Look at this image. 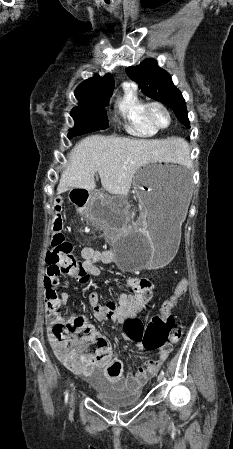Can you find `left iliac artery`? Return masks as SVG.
I'll return each instance as SVG.
<instances>
[{
    "mask_svg": "<svg viewBox=\"0 0 233 449\" xmlns=\"http://www.w3.org/2000/svg\"><path fill=\"white\" fill-rule=\"evenodd\" d=\"M164 374H165V373H164V371L162 370V371H161V375L164 376Z\"/></svg>",
    "mask_w": 233,
    "mask_h": 449,
    "instance_id": "obj_1",
    "label": "left iliac artery"
}]
</instances>
